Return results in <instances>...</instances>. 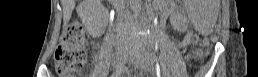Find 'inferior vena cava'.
Instances as JSON below:
<instances>
[{
    "label": "inferior vena cava",
    "mask_w": 258,
    "mask_h": 77,
    "mask_svg": "<svg viewBox=\"0 0 258 77\" xmlns=\"http://www.w3.org/2000/svg\"><path fill=\"white\" fill-rule=\"evenodd\" d=\"M117 2L119 3L117 5V11H118V16L120 20H123L125 17V13L123 11V5L121 4L122 0H117Z\"/></svg>",
    "instance_id": "602c4592"
}]
</instances>
